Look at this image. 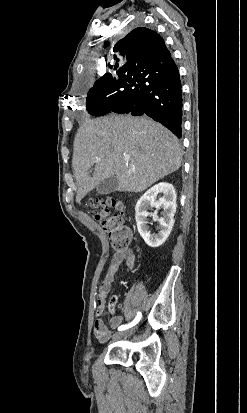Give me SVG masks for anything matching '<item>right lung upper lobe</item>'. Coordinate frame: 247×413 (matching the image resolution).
<instances>
[{
  "instance_id": "right-lung-upper-lobe-1",
  "label": "right lung upper lobe",
  "mask_w": 247,
  "mask_h": 413,
  "mask_svg": "<svg viewBox=\"0 0 247 413\" xmlns=\"http://www.w3.org/2000/svg\"><path fill=\"white\" fill-rule=\"evenodd\" d=\"M113 51L116 60L114 70L120 81L130 75L157 72L172 60L160 35L145 27L132 30L116 43ZM99 80L115 81L110 73Z\"/></svg>"
}]
</instances>
